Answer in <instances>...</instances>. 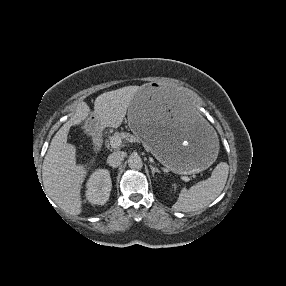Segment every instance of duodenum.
<instances>
[{
  "instance_id": "duodenum-1",
  "label": "duodenum",
  "mask_w": 286,
  "mask_h": 286,
  "mask_svg": "<svg viewBox=\"0 0 286 286\" xmlns=\"http://www.w3.org/2000/svg\"><path fill=\"white\" fill-rule=\"evenodd\" d=\"M103 146V139L100 134H96L93 138V147L95 151H100Z\"/></svg>"
}]
</instances>
